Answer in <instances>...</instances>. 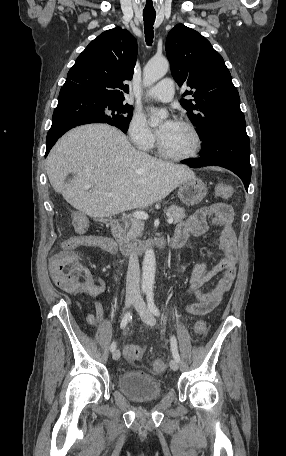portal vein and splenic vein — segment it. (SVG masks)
<instances>
[{"label": "portal vein and splenic vein", "mask_w": 286, "mask_h": 456, "mask_svg": "<svg viewBox=\"0 0 286 456\" xmlns=\"http://www.w3.org/2000/svg\"><path fill=\"white\" fill-rule=\"evenodd\" d=\"M133 216L137 219H143V220H146L148 219V214L144 211H137L133 214ZM167 223L169 224H172L173 223V219L171 217H169L167 219Z\"/></svg>", "instance_id": "1"}]
</instances>
